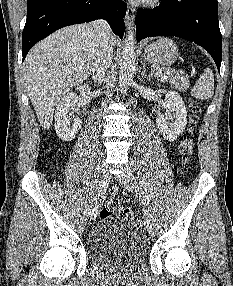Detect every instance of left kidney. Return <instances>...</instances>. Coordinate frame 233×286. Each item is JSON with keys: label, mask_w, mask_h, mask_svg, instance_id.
<instances>
[{"label": "left kidney", "mask_w": 233, "mask_h": 286, "mask_svg": "<svg viewBox=\"0 0 233 286\" xmlns=\"http://www.w3.org/2000/svg\"><path fill=\"white\" fill-rule=\"evenodd\" d=\"M165 113L156 118L160 133L172 142L184 131L187 124V110L182 97L177 92H169L165 96Z\"/></svg>", "instance_id": "left-kidney-1"}]
</instances>
